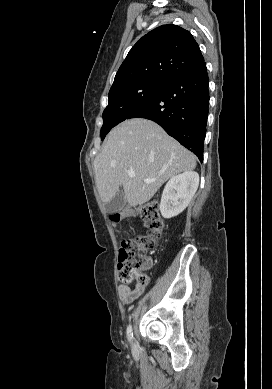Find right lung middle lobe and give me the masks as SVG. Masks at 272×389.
Instances as JSON below:
<instances>
[{"instance_id": "right-lung-middle-lobe-1", "label": "right lung middle lobe", "mask_w": 272, "mask_h": 389, "mask_svg": "<svg viewBox=\"0 0 272 389\" xmlns=\"http://www.w3.org/2000/svg\"><path fill=\"white\" fill-rule=\"evenodd\" d=\"M165 85L166 83L160 81L142 80L110 89L109 103L103 112L101 139Z\"/></svg>"}]
</instances>
